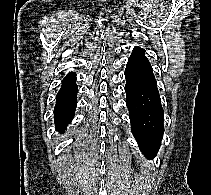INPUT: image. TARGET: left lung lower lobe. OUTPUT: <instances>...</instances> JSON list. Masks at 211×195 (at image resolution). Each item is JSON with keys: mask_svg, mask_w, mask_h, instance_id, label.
Masks as SVG:
<instances>
[{"mask_svg": "<svg viewBox=\"0 0 211 195\" xmlns=\"http://www.w3.org/2000/svg\"><path fill=\"white\" fill-rule=\"evenodd\" d=\"M125 78L131 131L142 153L153 159L163 138L164 115L150 62L130 57Z\"/></svg>", "mask_w": 211, "mask_h": 195, "instance_id": "left-lung-lower-lobe-1", "label": "left lung lower lobe"}]
</instances>
